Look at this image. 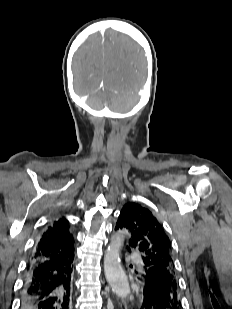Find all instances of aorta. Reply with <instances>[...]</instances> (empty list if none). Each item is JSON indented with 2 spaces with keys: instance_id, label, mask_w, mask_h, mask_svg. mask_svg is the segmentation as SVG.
Instances as JSON below:
<instances>
[{
  "instance_id": "obj_1",
  "label": "aorta",
  "mask_w": 232,
  "mask_h": 309,
  "mask_svg": "<svg viewBox=\"0 0 232 309\" xmlns=\"http://www.w3.org/2000/svg\"><path fill=\"white\" fill-rule=\"evenodd\" d=\"M123 241V235L118 233L111 240L104 257L105 277L112 291L120 298H126L130 294L129 282L120 263Z\"/></svg>"
}]
</instances>
